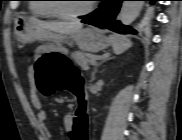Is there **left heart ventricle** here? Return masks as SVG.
Here are the masks:
<instances>
[{"instance_id": "b2bd125f", "label": "left heart ventricle", "mask_w": 182, "mask_h": 140, "mask_svg": "<svg viewBox=\"0 0 182 140\" xmlns=\"http://www.w3.org/2000/svg\"><path fill=\"white\" fill-rule=\"evenodd\" d=\"M86 1L82 0H66L62 5L67 12H77L87 6Z\"/></svg>"}]
</instances>
